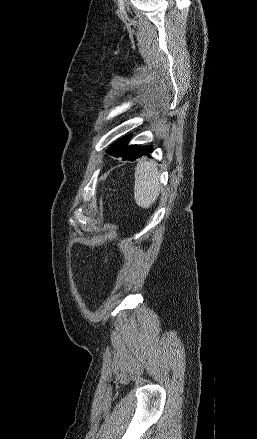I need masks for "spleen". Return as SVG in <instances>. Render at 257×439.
Segmentation results:
<instances>
[{"label": "spleen", "mask_w": 257, "mask_h": 439, "mask_svg": "<svg viewBox=\"0 0 257 439\" xmlns=\"http://www.w3.org/2000/svg\"><path fill=\"white\" fill-rule=\"evenodd\" d=\"M159 172L151 161H139L135 169L134 197L138 206L150 208L160 192Z\"/></svg>", "instance_id": "3e777b00"}]
</instances>
